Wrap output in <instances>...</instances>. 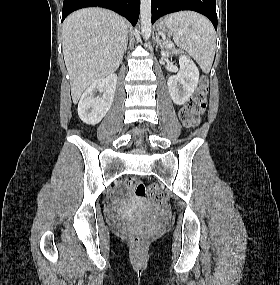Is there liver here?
Returning a JSON list of instances; mask_svg holds the SVG:
<instances>
[{
	"label": "liver",
	"mask_w": 280,
	"mask_h": 285,
	"mask_svg": "<svg viewBox=\"0 0 280 285\" xmlns=\"http://www.w3.org/2000/svg\"><path fill=\"white\" fill-rule=\"evenodd\" d=\"M127 34L125 20L106 9L85 8L65 19L63 55L74 103L91 84L118 69Z\"/></svg>",
	"instance_id": "liver-1"
}]
</instances>
